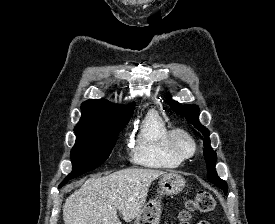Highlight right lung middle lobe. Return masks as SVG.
Here are the masks:
<instances>
[{
    "instance_id": "dd1d6c3e",
    "label": "right lung middle lobe",
    "mask_w": 275,
    "mask_h": 224,
    "mask_svg": "<svg viewBox=\"0 0 275 224\" xmlns=\"http://www.w3.org/2000/svg\"><path fill=\"white\" fill-rule=\"evenodd\" d=\"M129 120L100 126L75 127L76 143L71 151L72 172L59 188L70 179L97 168L110 155L123 127Z\"/></svg>"
}]
</instances>
